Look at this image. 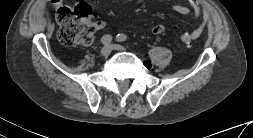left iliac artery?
<instances>
[{
  "label": "left iliac artery",
  "mask_w": 253,
  "mask_h": 138,
  "mask_svg": "<svg viewBox=\"0 0 253 138\" xmlns=\"http://www.w3.org/2000/svg\"><path fill=\"white\" fill-rule=\"evenodd\" d=\"M126 39H127V36L124 35V34H118L117 37H116V40L118 42H124V41H126Z\"/></svg>",
  "instance_id": "1"
}]
</instances>
